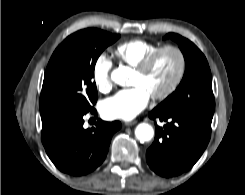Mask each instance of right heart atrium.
Returning a JSON list of instances; mask_svg holds the SVG:
<instances>
[{
	"label": "right heart atrium",
	"mask_w": 245,
	"mask_h": 195,
	"mask_svg": "<svg viewBox=\"0 0 245 195\" xmlns=\"http://www.w3.org/2000/svg\"><path fill=\"white\" fill-rule=\"evenodd\" d=\"M112 62L104 54L99 55L92 66V81L101 93H108L113 86L111 79Z\"/></svg>",
	"instance_id": "right-heart-atrium-1"
}]
</instances>
